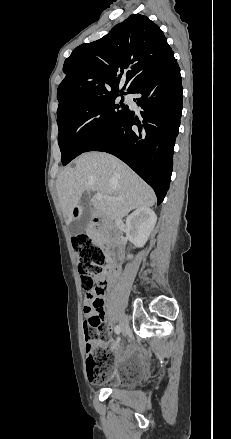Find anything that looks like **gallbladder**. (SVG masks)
Instances as JSON below:
<instances>
[{"instance_id": "obj_1", "label": "gallbladder", "mask_w": 231, "mask_h": 439, "mask_svg": "<svg viewBox=\"0 0 231 439\" xmlns=\"http://www.w3.org/2000/svg\"><path fill=\"white\" fill-rule=\"evenodd\" d=\"M80 207L82 214L80 218L69 225V232L71 235L82 233L88 225L91 218V204L87 194H84L80 199Z\"/></svg>"}]
</instances>
